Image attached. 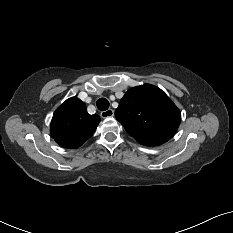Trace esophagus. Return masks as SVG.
<instances>
[{"label": "esophagus", "mask_w": 233, "mask_h": 233, "mask_svg": "<svg viewBox=\"0 0 233 233\" xmlns=\"http://www.w3.org/2000/svg\"><path fill=\"white\" fill-rule=\"evenodd\" d=\"M101 117L106 119L114 116V111L112 109H108L106 111L101 112Z\"/></svg>", "instance_id": "1"}]
</instances>
